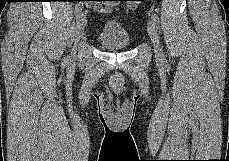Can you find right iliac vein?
<instances>
[{"mask_svg":"<svg viewBox=\"0 0 229 161\" xmlns=\"http://www.w3.org/2000/svg\"><path fill=\"white\" fill-rule=\"evenodd\" d=\"M86 26V16L83 14L77 21V27H76V32H75V43H77L79 41V39L81 38L84 29ZM71 60L75 59V52H73L70 56Z\"/></svg>","mask_w":229,"mask_h":161,"instance_id":"63e3f726","label":"right iliac vein"}]
</instances>
